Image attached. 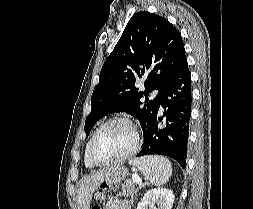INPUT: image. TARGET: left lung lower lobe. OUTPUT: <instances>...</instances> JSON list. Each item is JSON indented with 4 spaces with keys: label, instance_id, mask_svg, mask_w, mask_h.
Listing matches in <instances>:
<instances>
[{
    "label": "left lung lower lobe",
    "instance_id": "obj_1",
    "mask_svg": "<svg viewBox=\"0 0 253 209\" xmlns=\"http://www.w3.org/2000/svg\"><path fill=\"white\" fill-rule=\"evenodd\" d=\"M191 77L185 58L179 64L161 93L163 116L158 114L151 121L142 150L144 155H165L186 167L189 121L191 116ZM160 107V106H159Z\"/></svg>",
    "mask_w": 253,
    "mask_h": 209
}]
</instances>
